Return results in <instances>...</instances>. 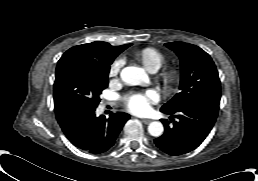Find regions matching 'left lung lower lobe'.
Returning <instances> with one entry per match:
<instances>
[{
    "instance_id": "1",
    "label": "left lung lower lobe",
    "mask_w": 258,
    "mask_h": 181,
    "mask_svg": "<svg viewBox=\"0 0 258 181\" xmlns=\"http://www.w3.org/2000/svg\"><path fill=\"white\" fill-rule=\"evenodd\" d=\"M219 111V104L199 103L176 112L162 111L178 118L169 126L167 120H161L165 133L154 140L155 145L169 155L186 154L197 148L211 131Z\"/></svg>"
}]
</instances>
